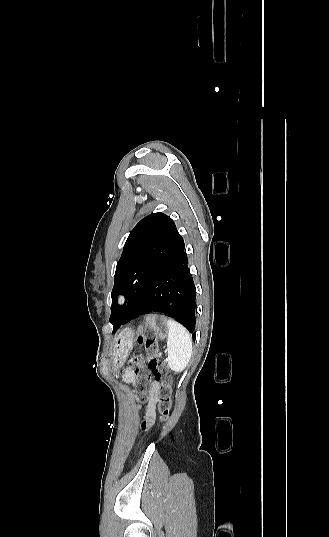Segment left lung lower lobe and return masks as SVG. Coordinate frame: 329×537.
Instances as JSON below:
<instances>
[{
  "instance_id": "0a47b994",
  "label": "left lung lower lobe",
  "mask_w": 329,
  "mask_h": 537,
  "mask_svg": "<svg viewBox=\"0 0 329 537\" xmlns=\"http://www.w3.org/2000/svg\"><path fill=\"white\" fill-rule=\"evenodd\" d=\"M196 288L188 268L185 245L157 272L123 323L158 312L175 318L195 339Z\"/></svg>"
}]
</instances>
